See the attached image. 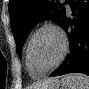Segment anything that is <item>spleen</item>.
Segmentation results:
<instances>
[{"instance_id": "1", "label": "spleen", "mask_w": 89, "mask_h": 89, "mask_svg": "<svg viewBox=\"0 0 89 89\" xmlns=\"http://www.w3.org/2000/svg\"><path fill=\"white\" fill-rule=\"evenodd\" d=\"M68 85V89H88L89 78L81 73L68 74L63 79Z\"/></svg>"}]
</instances>
